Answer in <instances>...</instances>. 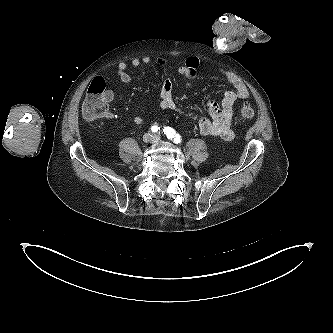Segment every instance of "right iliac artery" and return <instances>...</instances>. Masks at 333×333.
I'll return each instance as SVG.
<instances>
[{"mask_svg": "<svg viewBox=\"0 0 333 333\" xmlns=\"http://www.w3.org/2000/svg\"><path fill=\"white\" fill-rule=\"evenodd\" d=\"M158 130H160V127H158L156 125L151 127V131L154 132V133H156Z\"/></svg>", "mask_w": 333, "mask_h": 333, "instance_id": "right-iliac-artery-1", "label": "right iliac artery"}]
</instances>
